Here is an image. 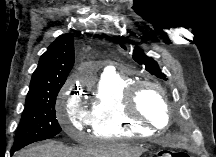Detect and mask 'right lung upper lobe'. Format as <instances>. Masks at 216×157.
Wrapping results in <instances>:
<instances>
[{
	"instance_id": "right-lung-upper-lobe-1",
	"label": "right lung upper lobe",
	"mask_w": 216,
	"mask_h": 157,
	"mask_svg": "<svg viewBox=\"0 0 216 157\" xmlns=\"http://www.w3.org/2000/svg\"><path fill=\"white\" fill-rule=\"evenodd\" d=\"M74 35H60L41 56L32 74L26 99L52 94L61 89L74 65Z\"/></svg>"
}]
</instances>
